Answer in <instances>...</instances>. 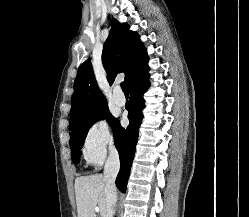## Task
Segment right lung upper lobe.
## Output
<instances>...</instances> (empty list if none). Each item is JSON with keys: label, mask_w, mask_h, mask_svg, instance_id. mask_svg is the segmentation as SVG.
I'll return each mask as SVG.
<instances>
[{"label": "right lung upper lobe", "mask_w": 249, "mask_h": 217, "mask_svg": "<svg viewBox=\"0 0 249 217\" xmlns=\"http://www.w3.org/2000/svg\"><path fill=\"white\" fill-rule=\"evenodd\" d=\"M148 62V56L139 35L129 30L127 24L116 19L111 21V30L103 46L102 63L110 84L118 73H125L128 84ZM106 104V98L98 89L89 60L82 63L74 82L71 100L70 121Z\"/></svg>", "instance_id": "right-lung-upper-lobe-1"}]
</instances>
